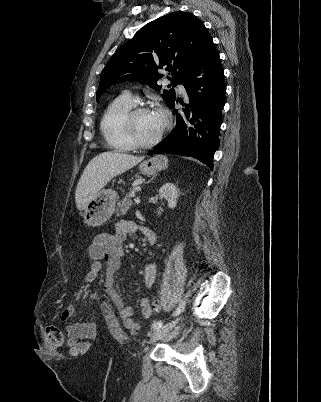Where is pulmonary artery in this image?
I'll use <instances>...</instances> for the list:
<instances>
[{"label": "pulmonary artery", "instance_id": "pulmonary-artery-1", "mask_svg": "<svg viewBox=\"0 0 321 402\" xmlns=\"http://www.w3.org/2000/svg\"><path fill=\"white\" fill-rule=\"evenodd\" d=\"M178 91H179L180 93H182V94L185 93V88H184V86H183L182 84L179 85ZM121 97H122L123 99H125V100H127V101L133 103V104H135V103L138 101V98H137L136 96L132 95V94L129 93V92L124 93Z\"/></svg>", "mask_w": 321, "mask_h": 402}]
</instances>
